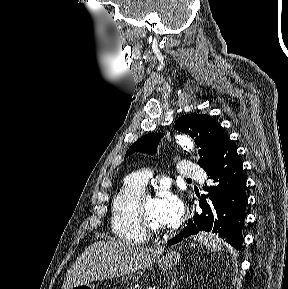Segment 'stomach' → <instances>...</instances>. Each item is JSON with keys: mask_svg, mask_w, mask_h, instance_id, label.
<instances>
[{"mask_svg": "<svg viewBox=\"0 0 288 289\" xmlns=\"http://www.w3.org/2000/svg\"><path fill=\"white\" fill-rule=\"evenodd\" d=\"M190 247H195V244H191ZM181 259L179 251H170L165 256L158 259V267L161 270H167L176 266ZM73 289H94V285L91 283H84L73 287Z\"/></svg>", "mask_w": 288, "mask_h": 289, "instance_id": "1", "label": "stomach"}]
</instances>
